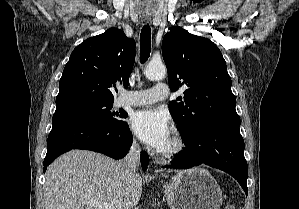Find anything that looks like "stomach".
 I'll use <instances>...</instances> for the list:
<instances>
[{
	"mask_svg": "<svg viewBox=\"0 0 299 209\" xmlns=\"http://www.w3.org/2000/svg\"><path fill=\"white\" fill-rule=\"evenodd\" d=\"M163 188L171 209H220L222 205L217 181L203 168L180 171Z\"/></svg>",
	"mask_w": 299,
	"mask_h": 209,
	"instance_id": "stomach-1",
	"label": "stomach"
}]
</instances>
